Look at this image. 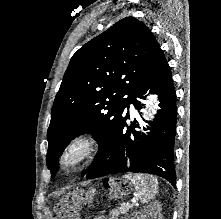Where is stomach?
<instances>
[{"instance_id": "1", "label": "stomach", "mask_w": 221, "mask_h": 219, "mask_svg": "<svg viewBox=\"0 0 221 219\" xmlns=\"http://www.w3.org/2000/svg\"><path fill=\"white\" fill-rule=\"evenodd\" d=\"M119 178H96V183H112L111 186H101V191L109 194H95V199H120L126 195V190H121ZM66 199H80V195H90V190H65Z\"/></svg>"}]
</instances>
